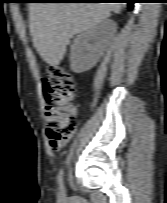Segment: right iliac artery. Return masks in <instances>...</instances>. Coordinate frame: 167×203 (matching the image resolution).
Returning <instances> with one entry per match:
<instances>
[{
	"label": "right iliac artery",
	"mask_w": 167,
	"mask_h": 203,
	"mask_svg": "<svg viewBox=\"0 0 167 203\" xmlns=\"http://www.w3.org/2000/svg\"><path fill=\"white\" fill-rule=\"evenodd\" d=\"M58 185H59V190L61 191L60 195L63 197V171H61L58 175Z\"/></svg>",
	"instance_id": "1"
}]
</instances>
